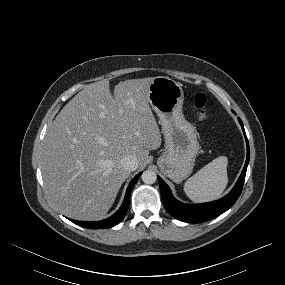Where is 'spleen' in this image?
Masks as SVG:
<instances>
[{"label": "spleen", "instance_id": "1", "mask_svg": "<svg viewBox=\"0 0 285 285\" xmlns=\"http://www.w3.org/2000/svg\"><path fill=\"white\" fill-rule=\"evenodd\" d=\"M228 159L220 156L205 165L184 184V192L193 202L218 199L228 184Z\"/></svg>", "mask_w": 285, "mask_h": 285}]
</instances>
